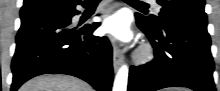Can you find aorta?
Here are the masks:
<instances>
[{
    "mask_svg": "<svg viewBox=\"0 0 220 91\" xmlns=\"http://www.w3.org/2000/svg\"><path fill=\"white\" fill-rule=\"evenodd\" d=\"M127 83H128V67L127 65H123L114 81L113 91H127Z\"/></svg>",
    "mask_w": 220,
    "mask_h": 91,
    "instance_id": "762f6f07",
    "label": "aorta"
}]
</instances>
